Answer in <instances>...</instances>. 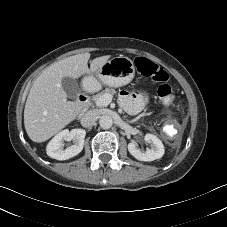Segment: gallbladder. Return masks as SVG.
<instances>
[{
  "label": "gallbladder",
  "mask_w": 227,
  "mask_h": 227,
  "mask_svg": "<svg viewBox=\"0 0 227 227\" xmlns=\"http://www.w3.org/2000/svg\"><path fill=\"white\" fill-rule=\"evenodd\" d=\"M61 84L69 98H75L81 91L78 83L73 78L63 77Z\"/></svg>",
  "instance_id": "bac80fb5"
}]
</instances>
